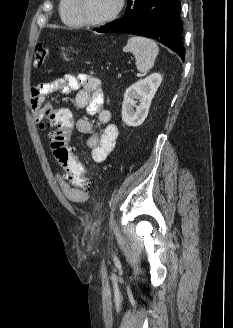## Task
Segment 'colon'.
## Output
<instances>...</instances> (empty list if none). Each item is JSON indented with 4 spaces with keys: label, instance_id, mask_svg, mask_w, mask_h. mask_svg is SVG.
I'll return each instance as SVG.
<instances>
[{
    "label": "colon",
    "instance_id": "1",
    "mask_svg": "<svg viewBox=\"0 0 233 328\" xmlns=\"http://www.w3.org/2000/svg\"><path fill=\"white\" fill-rule=\"evenodd\" d=\"M49 57L48 49L38 44L34 51V66H43ZM50 127L49 142L53 155L58 164L65 168L69 173L70 182L81 188L87 187L86 171L78 161L69 146V138L73 131L74 120L72 114L67 109H56L45 118Z\"/></svg>",
    "mask_w": 233,
    "mask_h": 328
}]
</instances>
